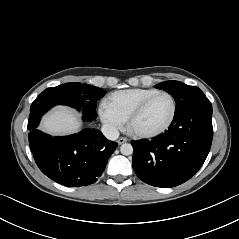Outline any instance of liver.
Returning <instances> with one entry per match:
<instances>
[{
  "instance_id": "6515ba94",
  "label": "liver",
  "mask_w": 239,
  "mask_h": 239,
  "mask_svg": "<svg viewBox=\"0 0 239 239\" xmlns=\"http://www.w3.org/2000/svg\"><path fill=\"white\" fill-rule=\"evenodd\" d=\"M81 127L78 116L67 107H57L46 115L40 129L53 135L77 132Z\"/></svg>"
}]
</instances>
